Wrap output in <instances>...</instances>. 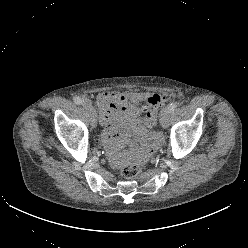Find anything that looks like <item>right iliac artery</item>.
Instances as JSON below:
<instances>
[{
  "label": "right iliac artery",
  "mask_w": 248,
  "mask_h": 248,
  "mask_svg": "<svg viewBox=\"0 0 248 248\" xmlns=\"http://www.w3.org/2000/svg\"><path fill=\"white\" fill-rule=\"evenodd\" d=\"M73 100H74V102H75L76 104H78V105H81V104L84 103V100H83L82 98H80L79 96H75V97L73 98Z\"/></svg>",
  "instance_id": "82829eb1"
}]
</instances>
